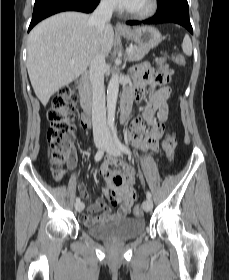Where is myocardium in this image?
<instances>
[{
	"instance_id": "1",
	"label": "myocardium",
	"mask_w": 229,
	"mask_h": 280,
	"mask_svg": "<svg viewBox=\"0 0 229 280\" xmlns=\"http://www.w3.org/2000/svg\"><path fill=\"white\" fill-rule=\"evenodd\" d=\"M158 10V0H148L147 6L142 10H131L125 8L124 11L136 19H146L154 15Z\"/></svg>"
}]
</instances>
